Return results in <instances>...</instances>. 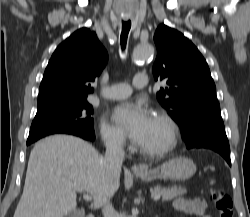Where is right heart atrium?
I'll list each match as a JSON object with an SVG mask.
<instances>
[{"label":"right heart atrium","mask_w":250,"mask_h":217,"mask_svg":"<svg viewBox=\"0 0 250 217\" xmlns=\"http://www.w3.org/2000/svg\"><path fill=\"white\" fill-rule=\"evenodd\" d=\"M100 137L103 143L108 147L123 149L126 146L124 133L106 120H102L100 123Z\"/></svg>","instance_id":"1"}]
</instances>
